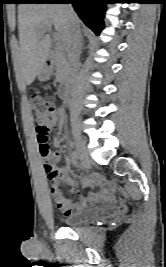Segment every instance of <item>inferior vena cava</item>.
<instances>
[{
	"label": "inferior vena cava",
	"instance_id": "inferior-vena-cava-1",
	"mask_svg": "<svg viewBox=\"0 0 166 267\" xmlns=\"http://www.w3.org/2000/svg\"><path fill=\"white\" fill-rule=\"evenodd\" d=\"M63 9L67 17V56L71 66V83L77 77L79 57L81 53V32L78 17L70 3H64Z\"/></svg>",
	"mask_w": 166,
	"mask_h": 267
}]
</instances>
